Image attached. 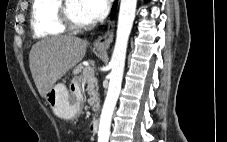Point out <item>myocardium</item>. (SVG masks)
Returning <instances> with one entry per match:
<instances>
[{
    "label": "myocardium",
    "mask_w": 227,
    "mask_h": 142,
    "mask_svg": "<svg viewBox=\"0 0 227 142\" xmlns=\"http://www.w3.org/2000/svg\"><path fill=\"white\" fill-rule=\"evenodd\" d=\"M59 20L61 24L67 29L71 31H82L89 29L92 24L91 23H80L76 21L69 13L67 4L61 3L59 6Z\"/></svg>",
    "instance_id": "1"
}]
</instances>
